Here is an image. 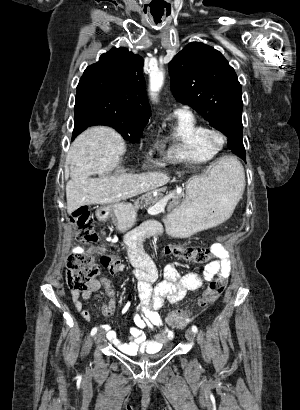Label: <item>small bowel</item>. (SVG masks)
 I'll return each mask as SVG.
<instances>
[{"label": "small bowel", "mask_w": 300, "mask_h": 410, "mask_svg": "<svg viewBox=\"0 0 300 410\" xmlns=\"http://www.w3.org/2000/svg\"><path fill=\"white\" fill-rule=\"evenodd\" d=\"M142 240L143 236L139 232L131 233L126 238L129 260L134 266L132 274L137 282L139 298V304L133 314L134 326L129 329L130 341H120L110 325H101L107 340L126 355L157 351L162 344L173 338V331L164 323L159 313L166 300L172 303L178 302L184 298L187 292L199 290L214 279L227 280L232 271L228 251L220 244H213L216 260L209 262L202 273H180L174 266L167 265L163 271V280L158 282V269L152 259L141 249ZM74 252L99 254L102 249L96 248L87 251L82 246H76ZM100 288H104L108 296V301L102 305V311L105 315L110 316L116 310V299L108 278L100 277L92 280L81 294L71 293L76 310L86 321L90 320L91 315L83 307L80 298L90 299ZM131 306L132 299L129 297L121 312L126 313ZM147 330H157V332L153 338H148Z\"/></svg>", "instance_id": "small-bowel-1"}]
</instances>
